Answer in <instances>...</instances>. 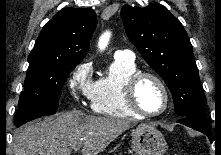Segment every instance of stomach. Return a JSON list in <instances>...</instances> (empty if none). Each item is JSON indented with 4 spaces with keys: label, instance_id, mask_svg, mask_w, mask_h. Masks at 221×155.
I'll return each mask as SVG.
<instances>
[{
    "label": "stomach",
    "instance_id": "0dacf381",
    "mask_svg": "<svg viewBox=\"0 0 221 155\" xmlns=\"http://www.w3.org/2000/svg\"><path fill=\"white\" fill-rule=\"evenodd\" d=\"M131 136L135 155H164L168 149L164 136L152 125L140 124L132 130Z\"/></svg>",
    "mask_w": 221,
    "mask_h": 155
}]
</instances>
